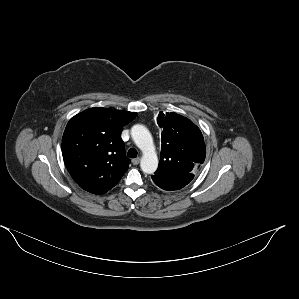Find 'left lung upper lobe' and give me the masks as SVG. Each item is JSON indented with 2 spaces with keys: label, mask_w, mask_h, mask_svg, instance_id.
<instances>
[{
  "label": "left lung upper lobe",
  "mask_w": 299,
  "mask_h": 299,
  "mask_svg": "<svg viewBox=\"0 0 299 299\" xmlns=\"http://www.w3.org/2000/svg\"><path fill=\"white\" fill-rule=\"evenodd\" d=\"M158 124L163 128L159 166L155 174L194 175L205 160L206 147L200 129L177 113H159Z\"/></svg>",
  "instance_id": "obj_1"
}]
</instances>
